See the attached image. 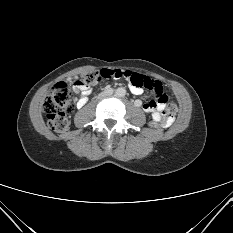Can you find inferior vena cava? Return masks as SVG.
<instances>
[{
    "label": "inferior vena cava",
    "instance_id": "602c4592",
    "mask_svg": "<svg viewBox=\"0 0 233 233\" xmlns=\"http://www.w3.org/2000/svg\"><path fill=\"white\" fill-rule=\"evenodd\" d=\"M114 94V91L111 88H107L105 91H101L99 97L102 100H105L107 97H111Z\"/></svg>",
    "mask_w": 233,
    "mask_h": 233
}]
</instances>
